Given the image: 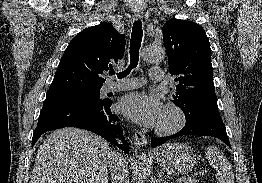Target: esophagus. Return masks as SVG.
Segmentation results:
<instances>
[{
	"label": "esophagus",
	"instance_id": "obj_1",
	"mask_svg": "<svg viewBox=\"0 0 262 183\" xmlns=\"http://www.w3.org/2000/svg\"><path fill=\"white\" fill-rule=\"evenodd\" d=\"M134 16H135L136 19H140V18H142L143 14H142L141 11H135ZM135 144H136L137 147H144V146L147 145V138L140 131L135 132Z\"/></svg>",
	"mask_w": 262,
	"mask_h": 183
}]
</instances>
